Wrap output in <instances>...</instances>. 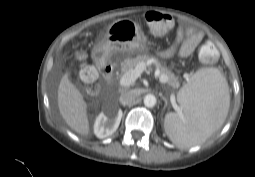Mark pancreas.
I'll return each instance as SVG.
<instances>
[{
  "mask_svg": "<svg viewBox=\"0 0 255 177\" xmlns=\"http://www.w3.org/2000/svg\"><path fill=\"white\" fill-rule=\"evenodd\" d=\"M151 59V57L149 55L146 54H140L137 55L136 57L133 58H127L124 61L121 62V73L125 74L129 71H131L132 69H134L137 64H139L140 62H143L145 65L146 63ZM157 67L159 68V78L161 79V77H165L166 81L162 82V83H167L168 85L172 86L173 88H178L179 87V82H178V78L174 75V73H172L171 71H169L167 68L161 66L160 63H156Z\"/></svg>",
  "mask_w": 255,
  "mask_h": 177,
  "instance_id": "cf45deb5",
  "label": "pancreas"
}]
</instances>
